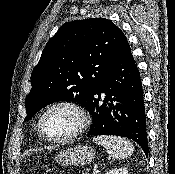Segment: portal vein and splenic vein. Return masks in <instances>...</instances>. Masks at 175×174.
I'll return each mask as SVG.
<instances>
[{
	"label": "portal vein and splenic vein",
	"mask_w": 175,
	"mask_h": 174,
	"mask_svg": "<svg viewBox=\"0 0 175 174\" xmlns=\"http://www.w3.org/2000/svg\"><path fill=\"white\" fill-rule=\"evenodd\" d=\"M98 169H97V167H94V169H93V174H98Z\"/></svg>",
	"instance_id": "obj_1"
}]
</instances>
